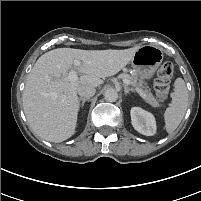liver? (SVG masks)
Listing matches in <instances>:
<instances>
[{
  "mask_svg": "<svg viewBox=\"0 0 201 201\" xmlns=\"http://www.w3.org/2000/svg\"><path fill=\"white\" fill-rule=\"evenodd\" d=\"M139 47L125 50H80L57 48L43 54L27 77L22 96L23 110L36 136L60 143L74 135L80 108V86L99 87L102 78L123 69ZM76 66L81 76L68 80V71Z\"/></svg>",
  "mask_w": 201,
  "mask_h": 201,
  "instance_id": "6515ba94",
  "label": "liver"
}]
</instances>
